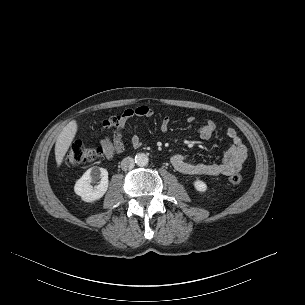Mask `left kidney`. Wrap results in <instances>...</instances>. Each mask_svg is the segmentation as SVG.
I'll list each match as a JSON object with an SVG mask.
<instances>
[{
    "label": "left kidney",
    "instance_id": "1",
    "mask_svg": "<svg viewBox=\"0 0 305 305\" xmlns=\"http://www.w3.org/2000/svg\"><path fill=\"white\" fill-rule=\"evenodd\" d=\"M194 187L199 192H205L207 190V185L201 180H196L194 182Z\"/></svg>",
    "mask_w": 305,
    "mask_h": 305
}]
</instances>
